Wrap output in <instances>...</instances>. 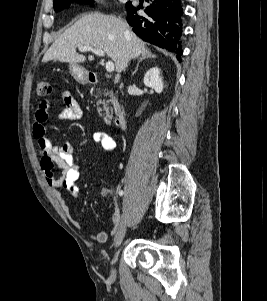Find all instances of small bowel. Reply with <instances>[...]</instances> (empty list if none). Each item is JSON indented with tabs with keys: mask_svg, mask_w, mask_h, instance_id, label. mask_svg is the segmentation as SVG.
<instances>
[{
	"mask_svg": "<svg viewBox=\"0 0 267 301\" xmlns=\"http://www.w3.org/2000/svg\"><path fill=\"white\" fill-rule=\"evenodd\" d=\"M61 97L64 107L59 117L63 120L80 119L82 117V109L72 94L69 91H62ZM48 109L49 102L47 100H44L35 108L32 119V132L40 148L39 166L45 181L55 196L62 201L63 209L69 212L68 205L62 200L60 190H65L72 198L77 199L80 193L78 186L80 172L74 159L73 145L70 142L53 143L46 137L45 122L48 119ZM93 140L99 143L106 153L111 152L116 147V139L112 131L96 132L93 135ZM55 166L61 170L59 177L54 174ZM111 194V191L106 187L100 189V195L104 198ZM112 221L113 225L109 231L91 233L90 237L97 243H107L119 222V212L116 208L112 215ZM73 223L76 226H80L77 220H73Z\"/></svg>",
	"mask_w": 267,
	"mask_h": 301,
	"instance_id": "c3829d8e",
	"label": "small bowel"
}]
</instances>
